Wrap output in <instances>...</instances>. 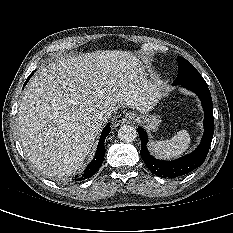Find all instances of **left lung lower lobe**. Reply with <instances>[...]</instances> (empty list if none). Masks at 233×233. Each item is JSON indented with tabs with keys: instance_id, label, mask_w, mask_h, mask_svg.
<instances>
[{
	"instance_id": "0a47b994",
	"label": "left lung lower lobe",
	"mask_w": 233,
	"mask_h": 233,
	"mask_svg": "<svg viewBox=\"0 0 233 233\" xmlns=\"http://www.w3.org/2000/svg\"><path fill=\"white\" fill-rule=\"evenodd\" d=\"M196 93L201 100L204 117V134L200 145L191 154L174 161H160L152 157L146 147L148 137L143 128L138 127V134L141 139V157L148 169L155 175L163 178H175L187 174L198 168L204 162L214 134L213 104L210 91L206 83L180 84Z\"/></svg>"
}]
</instances>
